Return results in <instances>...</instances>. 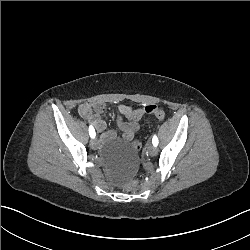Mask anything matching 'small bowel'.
Returning a JSON list of instances; mask_svg holds the SVG:
<instances>
[{"label": "small bowel", "instance_id": "c3829d8e", "mask_svg": "<svg viewBox=\"0 0 250 250\" xmlns=\"http://www.w3.org/2000/svg\"><path fill=\"white\" fill-rule=\"evenodd\" d=\"M107 106L102 102L97 103H83L79 105L78 112L84 119L89 120L95 127L98 133L102 134V137L106 141H110L115 138V134L112 131L105 132L106 122L102 115L106 111ZM134 111L131 107L127 105H120L117 108L116 121L121 130L122 138L124 140L130 141L133 139L134 135L139 131L140 124L138 122H133L130 119L131 112Z\"/></svg>", "mask_w": 250, "mask_h": 250}]
</instances>
